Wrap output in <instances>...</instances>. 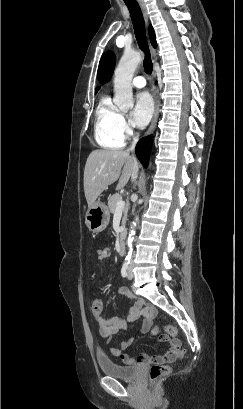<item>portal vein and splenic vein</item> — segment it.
<instances>
[{
  "label": "portal vein and splenic vein",
  "mask_w": 243,
  "mask_h": 409,
  "mask_svg": "<svg viewBox=\"0 0 243 409\" xmlns=\"http://www.w3.org/2000/svg\"><path fill=\"white\" fill-rule=\"evenodd\" d=\"M125 207V201L120 198L116 203V211H122Z\"/></svg>",
  "instance_id": "18ae733b"
}]
</instances>
